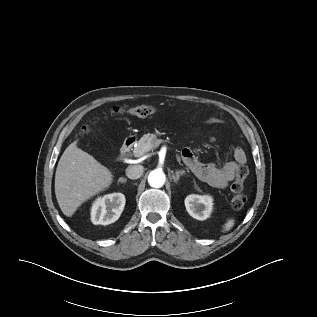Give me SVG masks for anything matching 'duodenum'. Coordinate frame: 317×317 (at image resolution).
Segmentation results:
<instances>
[{
  "label": "duodenum",
  "mask_w": 317,
  "mask_h": 317,
  "mask_svg": "<svg viewBox=\"0 0 317 317\" xmlns=\"http://www.w3.org/2000/svg\"><path fill=\"white\" fill-rule=\"evenodd\" d=\"M134 143H135L134 137H129V138L125 139V141L123 142L121 149H120L121 155L125 156L131 150Z\"/></svg>",
  "instance_id": "obj_1"
}]
</instances>
